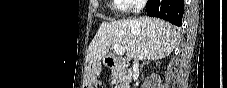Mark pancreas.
<instances>
[{"instance_id": "obj_1", "label": "pancreas", "mask_w": 227, "mask_h": 88, "mask_svg": "<svg viewBox=\"0 0 227 88\" xmlns=\"http://www.w3.org/2000/svg\"><path fill=\"white\" fill-rule=\"evenodd\" d=\"M112 76L115 83H118L124 88H128V76L122 73L119 69H112Z\"/></svg>"}]
</instances>
